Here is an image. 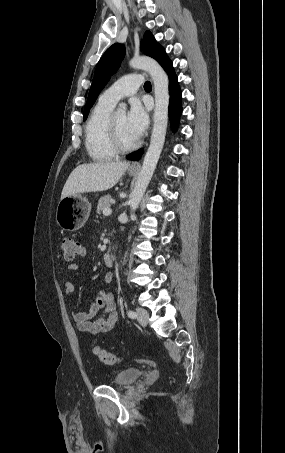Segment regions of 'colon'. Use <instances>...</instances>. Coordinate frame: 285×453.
I'll return each instance as SVG.
<instances>
[{
    "label": "colon",
    "instance_id": "5ec220e1",
    "mask_svg": "<svg viewBox=\"0 0 285 453\" xmlns=\"http://www.w3.org/2000/svg\"><path fill=\"white\" fill-rule=\"evenodd\" d=\"M62 249L64 259L66 261H73L80 255L81 247L75 239L67 237L62 240ZM93 353L102 363L106 365H115L119 362L118 356L97 346L93 347Z\"/></svg>",
    "mask_w": 285,
    "mask_h": 453
}]
</instances>
